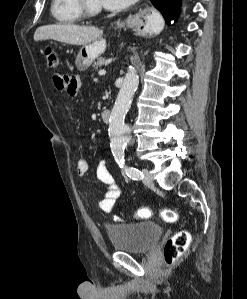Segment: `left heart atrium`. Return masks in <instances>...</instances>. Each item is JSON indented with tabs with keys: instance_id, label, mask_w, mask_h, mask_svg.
Wrapping results in <instances>:
<instances>
[{
	"instance_id": "1",
	"label": "left heart atrium",
	"mask_w": 247,
	"mask_h": 299,
	"mask_svg": "<svg viewBox=\"0 0 247 299\" xmlns=\"http://www.w3.org/2000/svg\"><path fill=\"white\" fill-rule=\"evenodd\" d=\"M133 1L134 0H99V3L105 8L117 10L128 6Z\"/></svg>"
}]
</instances>
